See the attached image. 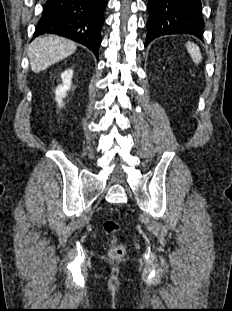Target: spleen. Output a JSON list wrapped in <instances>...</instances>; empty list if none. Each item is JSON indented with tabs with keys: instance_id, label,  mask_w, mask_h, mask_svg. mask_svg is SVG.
<instances>
[{
	"instance_id": "1",
	"label": "spleen",
	"mask_w": 232,
	"mask_h": 311,
	"mask_svg": "<svg viewBox=\"0 0 232 311\" xmlns=\"http://www.w3.org/2000/svg\"><path fill=\"white\" fill-rule=\"evenodd\" d=\"M186 47H187V51L190 54V56L193 59V61L196 64H199L201 62V60H202V55H201L199 47L196 44L192 43V42H188L186 44Z\"/></svg>"
}]
</instances>
